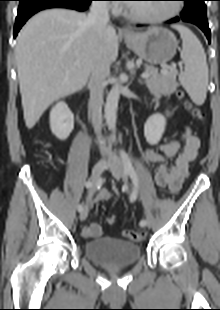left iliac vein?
<instances>
[{
  "label": "left iliac vein",
  "instance_id": "1",
  "mask_svg": "<svg viewBox=\"0 0 220 310\" xmlns=\"http://www.w3.org/2000/svg\"><path fill=\"white\" fill-rule=\"evenodd\" d=\"M111 173L116 179H122L123 181L127 182V177L125 175V170L122 161L117 157L113 156L111 159L110 165ZM145 226L151 228V220L146 217L145 219Z\"/></svg>",
  "mask_w": 220,
  "mask_h": 310
}]
</instances>
